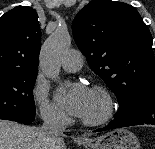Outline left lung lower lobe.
<instances>
[{
  "mask_svg": "<svg viewBox=\"0 0 155 149\" xmlns=\"http://www.w3.org/2000/svg\"><path fill=\"white\" fill-rule=\"evenodd\" d=\"M140 124L155 125V89L134 98L131 105L119 107L115 119L95 132Z\"/></svg>",
  "mask_w": 155,
  "mask_h": 149,
  "instance_id": "left-lung-lower-lobe-1",
  "label": "left lung lower lobe"
}]
</instances>
